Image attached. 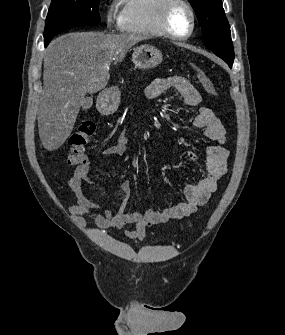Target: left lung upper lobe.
Listing matches in <instances>:
<instances>
[{"label":"left lung upper lobe","instance_id":"obj_1","mask_svg":"<svg viewBox=\"0 0 285 335\" xmlns=\"http://www.w3.org/2000/svg\"><path fill=\"white\" fill-rule=\"evenodd\" d=\"M202 27L203 42L230 67L234 61L230 25L221 0H189Z\"/></svg>","mask_w":285,"mask_h":335}]
</instances>
